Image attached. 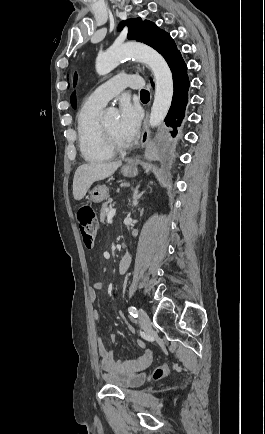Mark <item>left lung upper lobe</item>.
I'll list each match as a JSON object with an SVG mask.
<instances>
[{
	"instance_id": "5c2ea615",
	"label": "left lung upper lobe",
	"mask_w": 265,
	"mask_h": 434,
	"mask_svg": "<svg viewBox=\"0 0 265 434\" xmlns=\"http://www.w3.org/2000/svg\"><path fill=\"white\" fill-rule=\"evenodd\" d=\"M126 24L129 28L128 39H134L153 47L165 58L169 66L180 54L170 34L158 28L153 22L142 21L141 18L129 19L120 23L119 30Z\"/></svg>"
}]
</instances>
